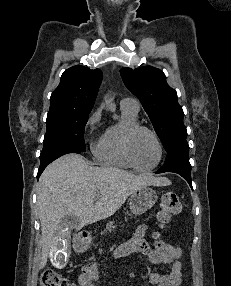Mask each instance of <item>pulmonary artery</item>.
<instances>
[{
  "label": "pulmonary artery",
  "mask_w": 231,
  "mask_h": 286,
  "mask_svg": "<svg viewBox=\"0 0 231 286\" xmlns=\"http://www.w3.org/2000/svg\"><path fill=\"white\" fill-rule=\"evenodd\" d=\"M121 108H125L134 112H138L140 108L139 101L135 98L126 97L120 101Z\"/></svg>",
  "instance_id": "1"
}]
</instances>
